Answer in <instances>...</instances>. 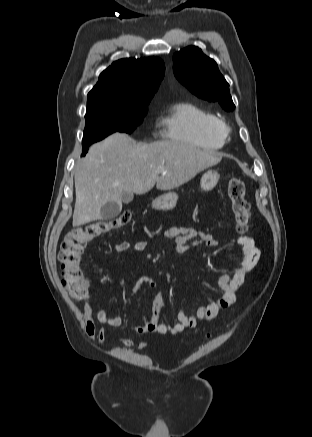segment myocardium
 I'll list each match as a JSON object with an SVG mask.
<instances>
[{"label": "myocardium", "mask_w": 312, "mask_h": 437, "mask_svg": "<svg viewBox=\"0 0 312 437\" xmlns=\"http://www.w3.org/2000/svg\"><path fill=\"white\" fill-rule=\"evenodd\" d=\"M222 128L225 130V132L229 130V127L224 122H222Z\"/></svg>", "instance_id": "f54148a6"}]
</instances>
